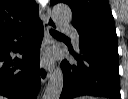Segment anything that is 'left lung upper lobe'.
Segmentation results:
<instances>
[{
	"label": "left lung upper lobe",
	"mask_w": 128,
	"mask_h": 99,
	"mask_svg": "<svg viewBox=\"0 0 128 99\" xmlns=\"http://www.w3.org/2000/svg\"><path fill=\"white\" fill-rule=\"evenodd\" d=\"M66 3L72 10V25L78 33L98 32L117 37L108 0H51Z\"/></svg>",
	"instance_id": "5c2ea615"
}]
</instances>
